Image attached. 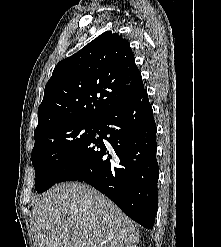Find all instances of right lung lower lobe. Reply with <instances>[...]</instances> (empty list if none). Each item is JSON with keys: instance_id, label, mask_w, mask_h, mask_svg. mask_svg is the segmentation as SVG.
<instances>
[{"instance_id": "obj_1", "label": "right lung lower lobe", "mask_w": 221, "mask_h": 247, "mask_svg": "<svg viewBox=\"0 0 221 247\" xmlns=\"http://www.w3.org/2000/svg\"><path fill=\"white\" fill-rule=\"evenodd\" d=\"M99 135V136H98ZM156 124L144 89L106 114L56 183L81 181L152 229L157 213Z\"/></svg>"}]
</instances>
